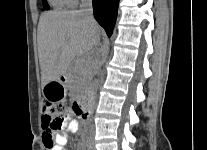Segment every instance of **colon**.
Instances as JSON below:
<instances>
[{"label": "colon", "mask_w": 207, "mask_h": 150, "mask_svg": "<svg viewBox=\"0 0 207 150\" xmlns=\"http://www.w3.org/2000/svg\"><path fill=\"white\" fill-rule=\"evenodd\" d=\"M78 112L77 108L75 109ZM67 107L61 102L47 101L43 108L42 124L45 139V147L48 149L53 145L52 134L61 130L66 123Z\"/></svg>", "instance_id": "1"}]
</instances>
